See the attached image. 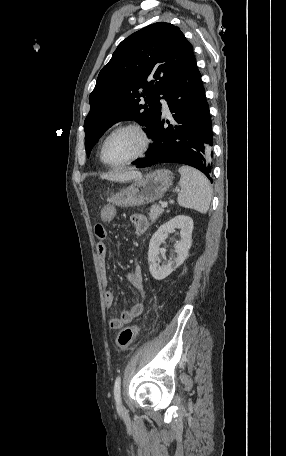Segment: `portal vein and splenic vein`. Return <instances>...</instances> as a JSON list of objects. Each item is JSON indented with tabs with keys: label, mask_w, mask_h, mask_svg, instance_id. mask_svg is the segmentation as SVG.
Instances as JSON below:
<instances>
[{
	"label": "portal vein and splenic vein",
	"mask_w": 286,
	"mask_h": 456,
	"mask_svg": "<svg viewBox=\"0 0 286 456\" xmlns=\"http://www.w3.org/2000/svg\"><path fill=\"white\" fill-rule=\"evenodd\" d=\"M167 204H168V203L164 201V202L161 203V206H162V207H166Z\"/></svg>",
	"instance_id": "1"
}]
</instances>
